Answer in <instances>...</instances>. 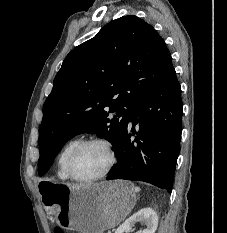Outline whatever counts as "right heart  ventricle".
<instances>
[{"label":"right heart ventricle","instance_id":"1","mask_svg":"<svg viewBox=\"0 0 227 233\" xmlns=\"http://www.w3.org/2000/svg\"><path fill=\"white\" fill-rule=\"evenodd\" d=\"M78 143L77 140H71L64 145L57 157V175L62 180L70 179L66 171V158L70 150Z\"/></svg>","mask_w":227,"mask_h":233}]
</instances>
